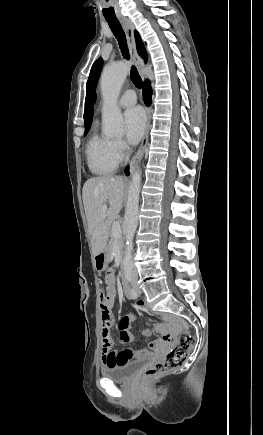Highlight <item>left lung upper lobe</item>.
Listing matches in <instances>:
<instances>
[{
	"instance_id": "1",
	"label": "left lung upper lobe",
	"mask_w": 263,
	"mask_h": 435,
	"mask_svg": "<svg viewBox=\"0 0 263 435\" xmlns=\"http://www.w3.org/2000/svg\"><path fill=\"white\" fill-rule=\"evenodd\" d=\"M103 65V59L99 58L97 59L94 64L92 65L91 71H90V75H89V79L87 81V85H86V99H85V105L86 107H88L91 111L89 112V122L88 125L86 127V131H85V135L87 133V131L89 130V126L91 124L92 121V105L91 103L93 102V96L95 94V86L97 84L98 81V77L101 71Z\"/></svg>"
}]
</instances>
